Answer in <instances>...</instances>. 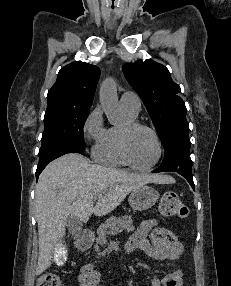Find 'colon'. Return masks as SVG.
Returning <instances> with one entry per match:
<instances>
[{
	"instance_id": "5ec220e1",
	"label": "colon",
	"mask_w": 231,
	"mask_h": 286,
	"mask_svg": "<svg viewBox=\"0 0 231 286\" xmlns=\"http://www.w3.org/2000/svg\"><path fill=\"white\" fill-rule=\"evenodd\" d=\"M160 212L164 217L184 218L188 214L187 207L175 192L163 194L160 202ZM37 286H63V283L57 274L47 272L39 277Z\"/></svg>"
}]
</instances>
